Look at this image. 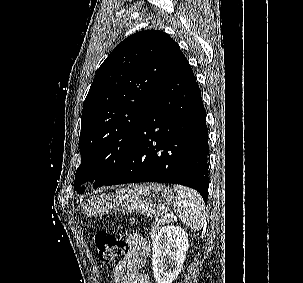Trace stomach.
Wrapping results in <instances>:
<instances>
[{"label": "stomach", "mask_w": 303, "mask_h": 283, "mask_svg": "<svg viewBox=\"0 0 303 283\" xmlns=\"http://www.w3.org/2000/svg\"><path fill=\"white\" fill-rule=\"evenodd\" d=\"M174 201L172 190L163 184L128 187L107 196L95 197L82 205L88 216H97L112 210L140 212L147 217L166 214Z\"/></svg>", "instance_id": "obj_1"}]
</instances>
